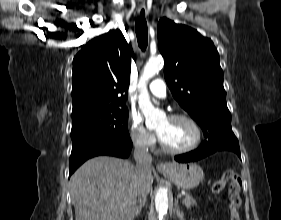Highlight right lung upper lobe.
I'll list each match as a JSON object with an SVG mask.
<instances>
[{"label":"right lung upper lobe","instance_id":"cb5924a9","mask_svg":"<svg viewBox=\"0 0 281 220\" xmlns=\"http://www.w3.org/2000/svg\"><path fill=\"white\" fill-rule=\"evenodd\" d=\"M132 48L119 29L89 41L73 59L72 118L125 107Z\"/></svg>","mask_w":281,"mask_h":220}]
</instances>
